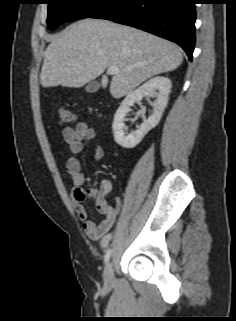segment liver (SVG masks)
Wrapping results in <instances>:
<instances>
[{
	"label": "liver",
	"mask_w": 236,
	"mask_h": 321,
	"mask_svg": "<svg viewBox=\"0 0 236 321\" xmlns=\"http://www.w3.org/2000/svg\"><path fill=\"white\" fill-rule=\"evenodd\" d=\"M182 62L181 50L170 41L130 26L87 18L51 38L40 81L43 87L80 88L102 75L101 86L106 88L109 80L103 73L115 66L120 72L112 77L110 93L120 98Z\"/></svg>",
	"instance_id": "6515ba94"
}]
</instances>
